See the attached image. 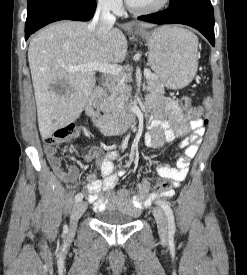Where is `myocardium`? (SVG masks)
I'll return each instance as SVG.
<instances>
[{
	"label": "myocardium",
	"mask_w": 247,
	"mask_h": 275,
	"mask_svg": "<svg viewBox=\"0 0 247 275\" xmlns=\"http://www.w3.org/2000/svg\"><path fill=\"white\" fill-rule=\"evenodd\" d=\"M170 0H162L161 3H159L158 5H155L153 7L150 8H135L129 0H126V5L127 8L129 9V11H131L134 14L137 15H148V14H153V13H157L161 10H163L168 4H169Z\"/></svg>",
	"instance_id": "myocardium-1"
}]
</instances>
